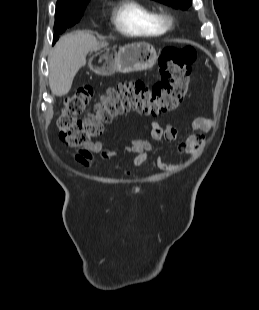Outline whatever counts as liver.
<instances>
[{"instance_id": "obj_1", "label": "liver", "mask_w": 259, "mask_h": 310, "mask_svg": "<svg viewBox=\"0 0 259 310\" xmlns=\"http://www.w3.org/2000/svg\"><path fill=\"white\" fill-rule=\"evenodd\" d=\"M86 31H76L62 36L48 57L49 86L52 94L66 95L79 69L86 64V55L107 47Z\"/></svg>"}]
</instances>
